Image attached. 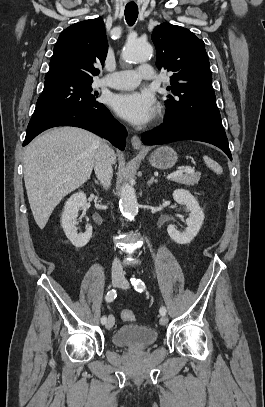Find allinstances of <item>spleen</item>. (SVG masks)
<instances>
[{
  "mask_svg": "<svg viewBox=\"0 0 265 407\" xmlns=\"http://www.w3.org/2000/svg\"><path fill=\"white\" fill-rule=\"evenodd\" d=\"M205 164L213 170L216 174H221L223 172L222 167L214 160L208 156H203Z\"/></svg>",
  "mask_w": 265,
  "mask_h": 407,
  "instance_id": "obj_1",
  "label": "spleen"
}]
</instances>
